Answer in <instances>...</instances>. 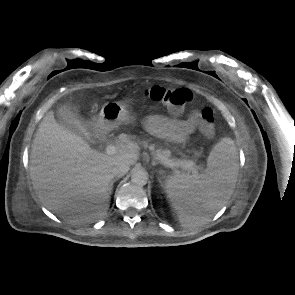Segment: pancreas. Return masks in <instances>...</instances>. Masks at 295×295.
<instances>
[{
    "instance_id": "1",
    "label": "pancreas",
    "mask_w": 295,
    "mask_h": 295,
    "mask_svg": "<svg viewBox=\"0 0 295 295\" xmlns=\"http://www.w3.org/2000/svg\"><path fill=\"white\" fill-rule=\"evenodd\" d=\"M145 146H146V144H145ZM154 153H155V158L160 161L162 158H169L171 155V152L169 150H156ZM182 168H184V167H182ZM184 169H186V168H184ZM188 170H190V169H188Z\"/></svg>"
}]
</instances>
